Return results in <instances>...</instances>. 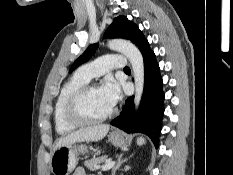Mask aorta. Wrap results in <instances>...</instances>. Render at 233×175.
I'll use <instances>...</instances> for the list:
<instances>
[{"instance_id":"762f6f07","label":"aorta","mask_w":233,"mask_h":175,"mask_svg":"<svg viewBox=\"0 0 233 175\" xmlns=\"http://www.w3.org/2000/svg\"><path fill=\"white\" fill-rule=\"evenodd\" d=\"M111 50L124 54L131 63L135 84V106L138 107L144 88V61L139 49L129 41L114 39L108 42Z\"/></svg>"}]
</instances>
